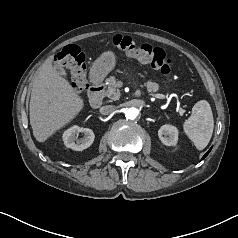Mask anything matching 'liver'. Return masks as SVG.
<instances>
[{"instance_id": "6515ba94", "label": "liver", "mask_w": 238, "mask_h": 238, "mask_svg": "<svg viewBox=\"0 0 238 238\" xmlns=\"http://www.w3.org/2000/svg\"><path fill=\"white\" fill-rule=\"evenodd\" d=\"M50 56L39 68L30 98V125L38 142L69 123L83 109V99L52 66Z\"/></svg>"}]
</instances>
